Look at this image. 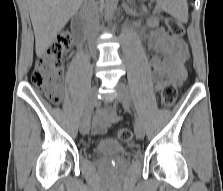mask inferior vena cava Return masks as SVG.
Wrapping results in <instances>:
<instances>
[{"instance_id":"602c4592","label":"inferior vena cava","mask_w":223,"mask_h":191,"mask_svg":"<svg viewBox=\"0 0 223 191\" xmlns=\"http://www.w3.org/2000/svg\"><path fill=\"white\" fill-rule=\"evenodd\" d=\"M83 7L85 11V22L88 41L90 43L100 29L98 5L95 0H85Z\"/></svg>"}]
</instances>
